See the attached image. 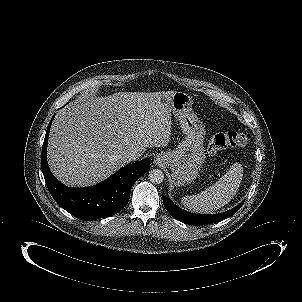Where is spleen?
<instances>
[{
    "label": "spleen",
    "instance_id": "1",
    "mask_svg": "<svg viewBox=\"0 0 302 302\" xmlns=\"http://www.w3.org/2000/svg\"><path fill=\"white\" fill-rule=\"evenodd\" d=\"M242 173V166L235 163L214 185L197 195L183 197L181 202L190 211L212 213L231 201L240 186Z\"/></svg>",
    "mask_w": 302,
    "mask_h": 302
}]
</instances>
